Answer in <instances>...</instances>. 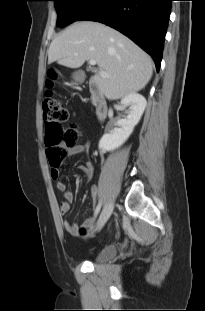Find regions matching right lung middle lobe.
<instances>
[{"instance_id": "1", "label": "right lung middle lobe", "mask_w": 205, "mask_h": 311, "mask_svg": "<svg viewBox=\"0 0 205 311\" xmlns=\"http://www.w3.org/2000/svg\"><path fill=\"white\" fill-rule=\"evenodd\" d=\"M57 11V26H67L87 13L99 0H53Z\"/></svg>"}]
</instances>
